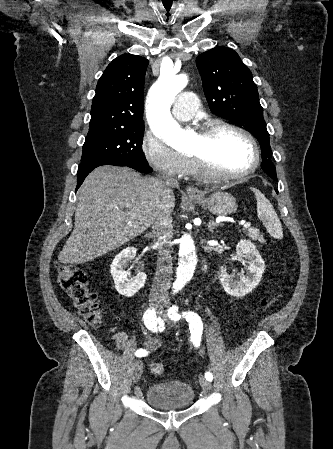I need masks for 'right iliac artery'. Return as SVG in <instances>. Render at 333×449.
<instances>
[{"mask_svg":"<svg viewBox=\"0 0 333 449\" xmlns=\"http://www.w3.org/2000/svg\"><path fill=\"white\" fill-rule=\"evenodd\" d=\"M144 323L147 327V329H149L152 332H157L162 331L164 328V322L162 321V319L160 317L156 316V312L154 311V309H148L145 314H144ZM148 354V351L145 349H138L135 352V355L137 357H143L146 356Z\"/></svg>","mask_w":333,"mask_h":449,"instance_id":"1","label":"right iliac artery"}]
</instances>
